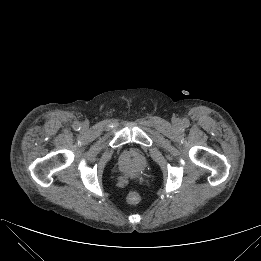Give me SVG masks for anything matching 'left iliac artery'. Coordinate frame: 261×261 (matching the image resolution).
Returning a JSON list of instances; mask_svg holds the SVG:
<instances>
[{"label": "left iliac artery", "instance_id": "44dca946", "mask_svg": "<svg viewBox=\"0 0 261 261\" xmlns=\"http://www.w3.org/2000/svg\"><path fill=\"white\" fill-rule=\"evenodd\" d=\"M184 126L188 127L189 126V120H184Z\"/></svg>", "mask_w": 261, "mask_h": 261}]
</instances>
